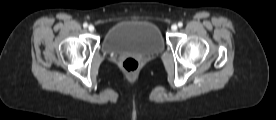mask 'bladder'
<instances>
[{
    "label": "bladder",
    "mask_w": 276,
    "mask_h": 120,
    "mask_svg": "<svg viewBox=\"0 0 276 120\" xmlns=\"http://www.w3.org/2000/svg\"><path fill=\"white\" fill-rule=\"evenodd\" d=\"M165 42L157 25L147 21L123 20L113 24L105 33L102 50L106 54H157Z\"/></svg>",
    "instance_id": "obj_1"
}]
</instances>
